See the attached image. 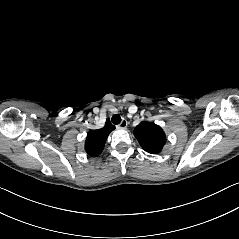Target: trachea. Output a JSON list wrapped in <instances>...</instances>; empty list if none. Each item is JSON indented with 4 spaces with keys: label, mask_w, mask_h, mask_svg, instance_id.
I'll list each match as a JSON object with an SVG mask.
<instances>
[{
    "label": "trachea",
    "mask_w": 239,
    "mask_h": 239,
    "mask_svg": "<svg viewBox=\"0 0 239 239\" xmlns=\"http://www.w3.org/2000/svg\"><path fill=\"white\" fill-rule=\"evenodd\" d=\"M113 124H119L121 122V117L119 115H113L112 119H111Z\"/></svg>",
    "instance_id": "trachea-1"
}]
</instances>
